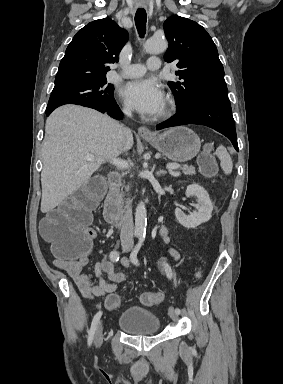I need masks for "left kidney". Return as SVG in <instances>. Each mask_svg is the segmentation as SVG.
Segmentation results:
<instances>
[{
    "label": "left kidney",
    "instance_id": "5707ae66",
    "mask_svg": "<svg viewBox=\"0 0 283 384\" xmlns=\"http://www.w3.org/2000/svg\"><path fill=\"white\" fill-rule=\"evenodd\" d=\"M186 196H196L198 198V204H192L194 208H197V212H191L189 216H186L180 208H176L175 216L184 228H197L200 224H204V222H208L210 218H212L211 214L213 212L212 202L209 198L208 192L198 186V184H191V186H187Z\"/></svg>",
    "mask_w": 283,
    "mask_h": 384
}]
</instances>
